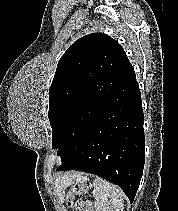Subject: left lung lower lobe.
I'll use <instances>...</instances> for the list:
<instances>
[{"mask_svg":"<svg viewBox=\"0 0 178 211\" xmlns=\"http://www.w3.org/2000/svg\"><path fill=\"white\" fill-rule=\"evenodd\" d=\"M143 123L141 94L130 64L96 123L57 171L96 174L119 185L132 203L144 167Z\"/></svg>","mask_w":178,"mask_h":211,"instance_id":"obj_1","label":"left lung lower lobe"}]
</instances>
